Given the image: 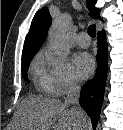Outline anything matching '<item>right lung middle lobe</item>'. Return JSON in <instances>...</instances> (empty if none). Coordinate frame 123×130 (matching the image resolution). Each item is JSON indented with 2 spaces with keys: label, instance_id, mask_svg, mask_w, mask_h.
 I'll return each mask as SVG.
<instances>
[{
  "label": "right lung middle lobe",
  "instance_id": "right-lung-middle-lobe-1",
  "mask_svg": "<svg viewBox=\"0 0 123 130\" xmlns=\"http://www.w3.org/2000/svg\"><path fill=\"white\" fill-rule=\"evenodd\" d=\"M35 54H31V55H26V56H22V73L25 74L28 67H29V63L32 60L33 56Z\"/></svg>",
  "mask_w": 123,
  "mask_h": 130
}]
</instances>
